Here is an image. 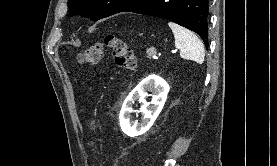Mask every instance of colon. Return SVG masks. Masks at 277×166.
I'll return each instance as SVG.
<instances>
[{
	"label": "colon",
	"instance_id": "1",
	"mask_svg": "<svg viewBox=\"0 0 277 166\" xmlns=\"http://www.w3.org/2000/svg\"><path fill=\"white\" fill-rule=\"evenodd\" d=\"M108 49L115 58L116 63L129 72L136 70L138 61L133 49L116 35H107L103 43H95L78 54L77 61L83 65H93L99 63L105 56ZM91 129L98 132L101 129L99 121L91 123ZM93 146H98V141H93ZM97 166H103V161H97Z\"/></svg>",
	"mask_w": 277,
	"mask_h": 166
}]
</instances>
